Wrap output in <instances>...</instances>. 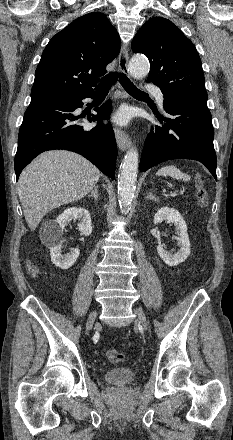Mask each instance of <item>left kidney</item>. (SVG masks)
Instances as JSON below:
<instances>
[{"mask_svg":"<svg viewBox=\"0 0 233 440\" xmlns=\"http://www.w3.org/2000/svg\"><path fill=\"white\" fill-rule=\"evenodd\" d=\"M163 220H168L174 224L178 231V237H176V240L180 249L177 253L173 254L165 250L162 245H158L157 252L165 264L168 266H176L184 262L190 254V241L187 234V225L180 213L173 208L163 207L155 213L153 219L155 224L160 223Z\"/></svg>","mask_w":233,"mask_h":440,"instance_id":"obj_1","label":"left kidney"}]
</instances>
